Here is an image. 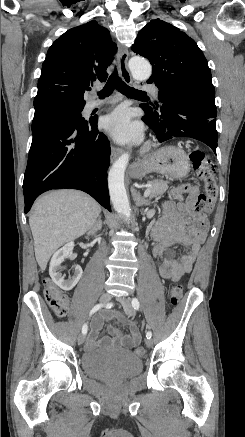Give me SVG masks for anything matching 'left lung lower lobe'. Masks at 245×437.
<instances>
[{"instance_id": "0a47b994", "label": "left lung lower lobe", "mask_w": 245, "mask_h": 437, "mask_svg": "<svg viewBox=\"0 0 245 437\" xmlns=\"http://www.w3.org/2000/svg\"><path fill=\"white\" fill-rule=\"evenodd\" d=\"M160 107L141 106L142 120L156 133L159 142L190 137L207 144L216 154V107L195 97L167 94L159 90Z\"/></svg>"}]
</instances>
